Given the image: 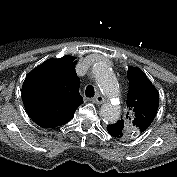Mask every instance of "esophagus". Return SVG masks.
<instances>
[{
    "label": "esophagus",
    "instance_id": "1",
    "mask_svg": "<svg viewBox=\"0 0 177 177\" xmlns=\"http://www.w3.org/2000/svg\"><path fill=\"white\" fill-rule=\"evenodd\" d=\"M91 101L96 104H102L105 100L103 96L97 95L96 97L92 98Z\"/></svg>",
    "mask_w": 177,
    "mask_h": 177
}]
</instances>
